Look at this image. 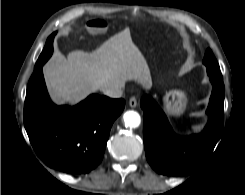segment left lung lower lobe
<instances>
[{"label":"left lung lower lobe","mask_w":245,"mask_h":195,"mask_svg":"<svg viewBox=\"0 0 245 195\" xmlns=\"http://www.w3.org/2000/svg\"><path fill=\"white\" fill-rule=\"evenodd\" d=\"M209 77L213 86L206 111L209 119L199 135H176L158 104L149 95L142 98L145 153L157 173L167 176L193 173L209 157L219 140L224 123L225 88L222 79Z\"/></svg>","instance_id":"left-lung-lower-lobe-1"}]
</instances>
